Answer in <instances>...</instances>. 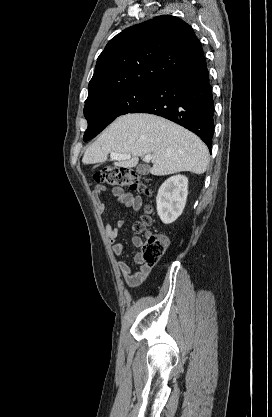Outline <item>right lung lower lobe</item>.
<instances>
[{
  "mask_svg": "<svg viewBox=\"0 0 272 417\" xmlns=\"http://www.w3.org/2000/svg\"><path fill=\"white\" fill-rule=\"evenodd\" d=\"M132 113L156 114L176 122L211 149L214 101L204 54L171 73Z\"/></svg>",
  "mask_w": 272,
  "mask_h": 417,
  "instance_id": "right-lung-lower-lobe-1",
  "label": "right lung lower lobe"
}]
</instances>
